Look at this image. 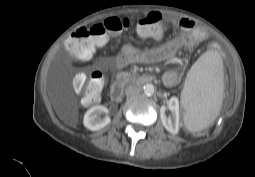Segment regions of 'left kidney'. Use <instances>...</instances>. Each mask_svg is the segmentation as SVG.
Masks as SVG:
<instances>
[{
    "mask_svg": "<svg viewBox=\"0 0 255 177\" xmlns=\"http://www.w3.org/2000/svg\"><path fill=\"white\" fill-rule=\"evenodd\" d=\"M168 108L171 111V114L167 116L165 114V107H161L160 117L162 124L165 129L172 134L178 133L179 129V101L178 98L172 97L169 100Z\"/></svg>",
    "mask_w": 255,
    "mask_h": 177,
    "instance_id": "1",
    "label": "left kidney"
}]
</instances>
